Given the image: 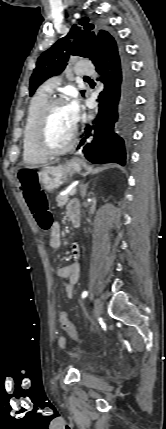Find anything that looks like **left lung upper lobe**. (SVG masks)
<instances>
[{
	"instance_id": "left-lung-upper-lobe-1",
	"label": "left lung upper lobe",
	"mask_w": 166,
	"mask_h": 429,
	"mask_svg": "<svg viewBox=\"0 0 166 429\" xmlns=\"http://www.w3.org/2000/svg\"><path fill=\"white\" fill-rule=\"evenodd\" d=\"M80 25L74 24L66 37L58 40L37 59L36 68L30 78V96L46 79L60 74L72 56L93 60L99 42L109 44L116 40L106 30H94V25L89 23L86 17L80 20ZM81 93L84 95V91Z\"/></svg>"
}]
</instances>
